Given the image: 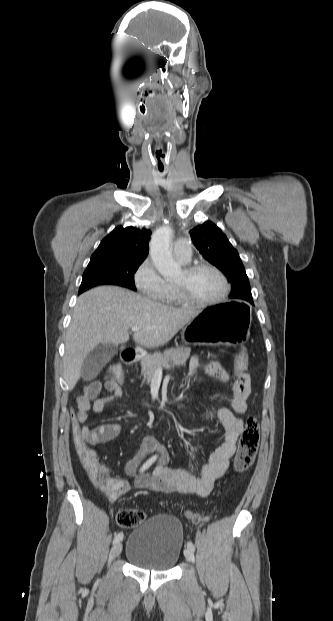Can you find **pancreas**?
<instances>
[{
  "label": "pancreas",
  "instance_id": "1",
  "mask_svg": "<svg viewBox=\"0 0 333 621\" xmlns=\"http://www.w3.org/2000/svg\"><path fill=\"white\" fill-rule=\"evenodd\" d=\"M189 347L170 348L164 353H154L141 359L142 374L149 382L158 369H163L169 364L183 366L190 356Z\"/></svg>",
  "mask_w": 333,
  "mask_h": 621
}]
</instances>
